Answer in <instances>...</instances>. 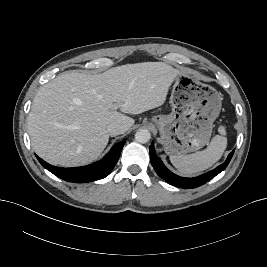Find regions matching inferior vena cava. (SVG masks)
I'll return each mask as SVG.
<instances>
[{
  "label": "inferior vena cava",
  "mask_w": 267,
  "mask_h": 267,
  "mask_svg": "<svg viewBox=\"0 0 267 267\" xmlns=\"http://www.w3.org/2000/svg\"><path fill=\"white\" fill-rule=\"evenodd\" d=\"M107 132L109 135L115 136L123 132V127L118 123H111L107 126Z\"/></svg>",
  "instance_id": "602c4592"
}]
</instances>
